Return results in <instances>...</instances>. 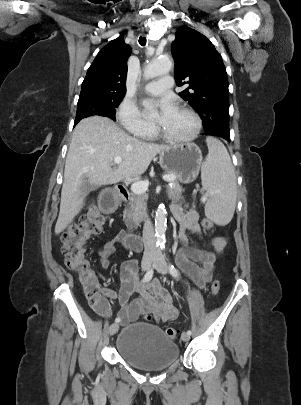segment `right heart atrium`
Returning <instances> with one entry per match:
<instances>
[{
	"mask_svg": "<svg viewBox=\"0 0 301 405\" xmlns=\"http://www.w3.org/2000/svg\"><path fill=\"white\" fill-rule=\"evenodd\" d=\"M116 117L120 125L133 135L142 136L152 131V123L143 118L136 104L130 99L125 98L120 103Z\"/></svg>",
	"mask_w": 301,
	"mask_h": 405,
	"instance_id": "obj_1",
	"label": "right heart atrium"
}]
</instances>
